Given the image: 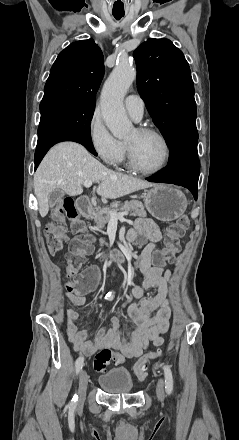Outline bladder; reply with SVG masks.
<instances>
[{"label": "bladder", "mask_w": 239, "mask_h": 440, "mask_svg": "<svg viewBox=\"0 0 239 440\" xmlns=\"http://www.w3.org/2000/svg\"><path fill=\"white\" fill-rule=\"evenodd\" d=\"M98 382L104 391L113 394L130 393L134 386L130 373L124 369L110 370L101 375Z\"/></svg>", "instance_id": "1"}]
</instances>
